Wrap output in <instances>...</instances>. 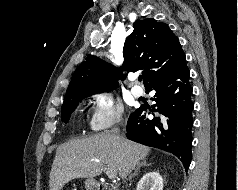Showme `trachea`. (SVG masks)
<instances>
[{"label":"trachea","instance_id":"3493384b","mask_svg":"<svg viewBox=\"0 0 238 190\" xmlns=\"http://www.w3.org/2000/svg\"><path fill=\"white\" fill-rule=\"evenodd\" d=\"M138 80H139V81H142V76H139V77H138Z\"/></svg>","mask_w":238,"mask_h":190}]
</instances>
